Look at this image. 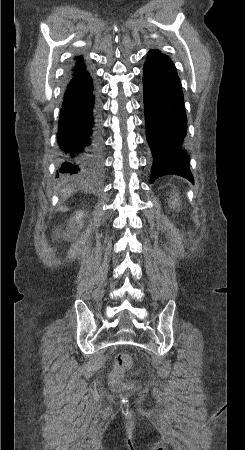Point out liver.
<instances>
[{"mask_svg": "<svg viewBox=\"0 0 245 450\" xmlns=\"http://www.w3.org/2000/svg\"><path fill=\"white\" fill-rule=\"evenodd\" d=\"M61 192L63 193V195H66V194H70L71 190L70 189H63Z\"/></svg>", "mask_w": 245, "mask_h": 450, "instance_id": "6515ba94", "label": "liver"}]
</instances>
